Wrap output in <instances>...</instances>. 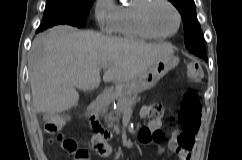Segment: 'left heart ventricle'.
I'll return each instance as SVG.
<instances>
[{
	"mask_svg": "<svg viewBox=\"0 0 242 160\" xmlns=\"http://www.w3.org/2000/svg\"><path fill=\"white\" fill-rule=\"evenodd\" d=\"M148 19L151 27L161 34H170L177 27L175 12L163 2H157L152 5L148 13Z\"/></svg>",
	"mask_w": 242,
	"mask_h": 160,
	"instance_id": "obj_1",
	"label": "left heart ventricle"
}]
</instances>
